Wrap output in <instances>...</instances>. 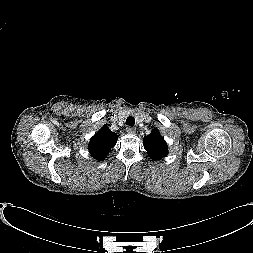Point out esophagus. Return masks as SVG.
Instances as JSON below:
<instances>
[{
	"instance_id": "1",
	"label": "esophagus",
	"mask_w": 253,
	"mask_h": 253,
	"mask_svg": "<svg viewBox=\"0 0 253 253\" xmlns=\"http://www.w3.org/2000/svg\"><path fill=\"white\" fill-rule=\"evenodd\" d=\"M126 131H127V133H129V134H133V133H135L136 129H135L134 127H127V128H126Z\"/></svg>"
}]
</instances>
